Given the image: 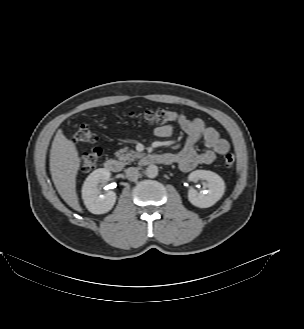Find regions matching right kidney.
Returning a JSON list of instances; mask_svg holds the SVG:
<instances>
[{
    "mask_svg": "<svg viewBox=\"0 0 304 329\" xmlns=\"http://www.w3.org/2000/svg\"><path fill=\"white\" fill-rule=\"evenodd\" d=\"M110 178V171L99 168L93 171L82 186V199L86 208L93 214H104L112 209L116 201V193L108 191L101 194L99 184H105Z\"/></svg>",
    "mask_w": 304,
    "mask_h": 329,
    "instance_id": "ca27d5eb",
    "label": "right kidney"
}]
</instances>
